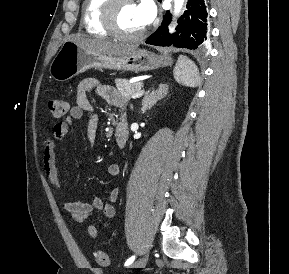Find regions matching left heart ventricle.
<instances>
[{
  "label": "left heart ventricle",
  "instance_id": "1",
  "mask_svg": "<svg viewBox=\"0 0 289 274\" xmlns=\"http://www.w3.org/2000/svg\"><path fill=\"white\" fill-rule=\"evenodd\" d=\"M117 24L119 29L125 33H136L145 27L135 3L120 6L117 13Z\"/></svg>",
  "mask_w": 289,
  "mask_h": 274
}]
</instances>
